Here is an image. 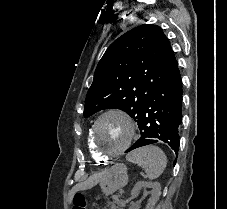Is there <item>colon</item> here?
Returning <instances> with one entry per match:
<instances>
[{
    "label": "colon",
    "mask_w": 227,
    "mask_h": 209,
    "mask_svg": "<svg viewBox=\"0 0 227 209\" xmlns=\"http://www.w3.org/2000/svg\"><path fill=\"white\" fill-rule=\"evenodd\" d=\"M71 209H87V199L83 193L78 192L75 194Z\"/></svg>",
    "instance_id": "1"
}]
</instances>
